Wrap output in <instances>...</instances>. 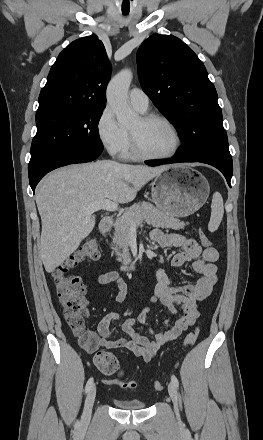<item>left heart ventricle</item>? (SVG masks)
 I'll use <instances>...</instances> for the list:
<instances>
[{"label":"left heart ventricle","instance_id":"b2bd125f","mask_svg":"<svg viewBox=\"0 0 263 440\" xmlns=\"http://www.w3.org/2000/svg\"><path fill=\"white\" fill-rule=\"evenodd\" d=\"M129 130L135 135L139 145L147 153L165 154L174 147V136L169 127L163 122L144 123L139 117L130 125Z\"/></svg>","mask_w":263,"mask_h":440}]
</instances>
